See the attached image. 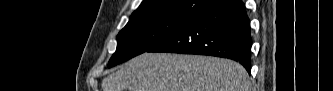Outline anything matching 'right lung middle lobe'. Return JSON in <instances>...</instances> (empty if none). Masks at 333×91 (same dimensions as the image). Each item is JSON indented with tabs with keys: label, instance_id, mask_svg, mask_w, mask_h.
<instances>
[{
	"label": "right lung middle lobe",
	"instance_id": "1",
	"mask_svg": "<svg viewBox=\"0 0 333 91\" xmlns=\"http://www.w3.org/2000/svg\"><path fill=\"white\" fill-rule=\"evenodd\" d=\"M215 0H205V9L213 5ZM204 9V10H205ZM192 18L177 16H147L130 19L117 36V49L109 60L108 67L131 59L159 44Z\"/></svg>",
	"mask_w": 333,
	"mask_h": 91
}]
</instances>
